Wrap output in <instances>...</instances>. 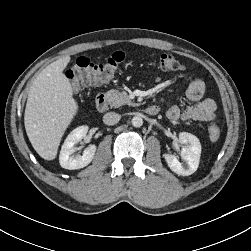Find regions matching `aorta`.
Listing matches in <instances>:
<instances>
[{
  "label": "aorta",
  "instance_id": "aorta-1",
  "mask_svg": "<svg viewBox=\"0 0 251 251\" xmlns=\"http://www.w3.org/2000/svg\"><path fill=\"white\" fill-rule=\"evenodd\" d=\"M131 123L134 127L139 128L143 125V119L140 116H134Z\"/></svg>",
  "mask_w": 251,
  "mask_h": 251
}]
</instances>
